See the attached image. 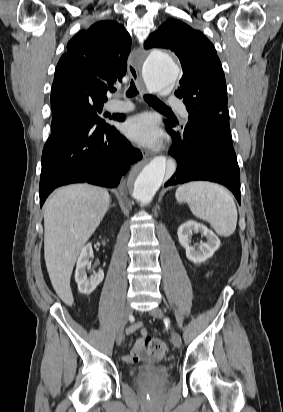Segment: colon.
<instances>
[{
  "instance_id": "5ec220e1",
  "label": "colon",
  "mask_w": 283,
  "mask_h": 412,
  "mask_svg": "<svg viewBox=\"0 0 283 412\" xmlns=\"http://www.w3.org/2000/svg\"><path fill=\"white\" fill-rule=\"evenodd\" d=\"M144 346L155 357H163L168 353V346L165 342L146 336Z\"/></svg>"
}]
</instances>
